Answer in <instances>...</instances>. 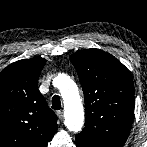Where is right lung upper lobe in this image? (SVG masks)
Instances as JSON below:
<instances>
[{
	"mask_svg": "<svg viewBox=\"0 0 147 147\" xmlns=\"http://www.w3.org/2000/svg\"><path fill=\"white\" fill-rule=\"evenodd\" d=\"M44 58L17 61L0 72V147H47L57 116L37 83Z\"/></svg>",
	"mask_w": 147,
	"mask_h": 147,
	"instance_id": "1",
	"label": "right lung upper lobe"
}]
</instances>
